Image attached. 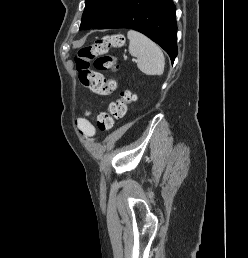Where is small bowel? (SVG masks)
<instances>
[{"label": "small bowel", "instance_id": "obj_1", "mask_svg": "<svg viewBox=\"0 0 248 258\" xmlns=\"http://www.w3.org/2000/svg\"><path fill=\"white\" fill-rule=\"evenodd\" d=\"M89 116L90 113L86 112ZM77 128L79 132L88 140H94L96 135V129L94 125L86 118H80L77 120Z\"/></svg>", "mask_w": 248, "mask_h": 258}]
</instances>
